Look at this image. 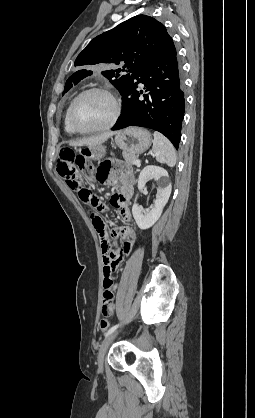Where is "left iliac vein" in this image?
Listing matches in <instances>:
<instances>
[{"mask_svg":"<svg viewBox=\"0 0 255 418\" xmlns=\"http://www.w3.org/2000/svg\"><path fill=\"white\" fill-rule=\"evenodd\" d=\"M116 335V332L111 333L110 335H108L104 341L102 342L99 352H98V366H99V371L102 372L103 371V364H104V357L106 355V352L110 346V344L112 343L114 337Z\"/></svg>","mask_w":255,"mask_h":418,"instance_id":"1","label":"left iliac vein"}]
</instances>
